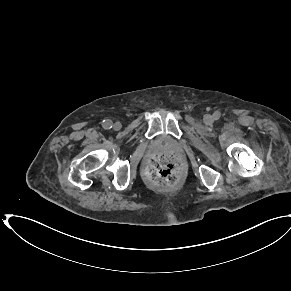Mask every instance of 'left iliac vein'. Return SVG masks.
<instances>
[{"mask_svg":"<svg viewBox=\"0 0 291 291\" xmlns=\"http://www.w3.org/2000/svg\"><path fill=\"white\" fill-rule=\"evenodd\" d=\"M204 122H205L206 124H210V123H212V122H213V117H212L211 115H209V114L205 115V116H204Z\"/></svg>","mask_w":291,"mask_h":291,"instance_id":"4c4485c4","label":"left iliac vein"}]
</instances>
